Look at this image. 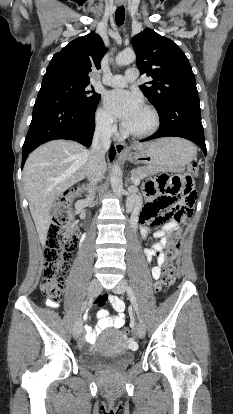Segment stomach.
I'll list each match as a JSON object with an SVG mask.
<instances>
[{"label":"stomach","mask_w":233,"mask_h":414,"mask_svg":"<svg viewBox=\"0 0 233 414\" xmlns=\"http://www.w3.org/2000/svg\"><path fill=\"white\" fill-rule=\"evenodd\" d=\"M196 156L195 146L180 138H163L128 153L124 158L134 164H144L156 172L179 171Z\"/></svg>","instance_id":"0dacf381"}]
</instances>
